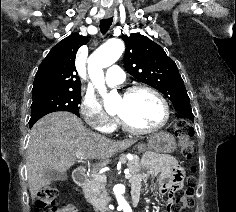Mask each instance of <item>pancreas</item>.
I'll use <instances>...</instances> for the list:
<instances>
[{
  "instance_id": "1",
  "label": "pancreas",
  "mask_w": 236,
  "mask_h": 212,
  "mask_svg": "<svg viewBox=\"0 0 236 212\" xmlns=\"http://www.w3.org/2000/svg\"><path fill=\"white\" fill-rule=\"evenodd\" d=\"M130 175H134L139 172V157L134 156L133 160L128 161L127 164ZM106 180H97L92 178L85 188L84 194L87 201L94 207L95 210H103L108 201V194L105 189Z\"/></svg>"
}]
</instances>
